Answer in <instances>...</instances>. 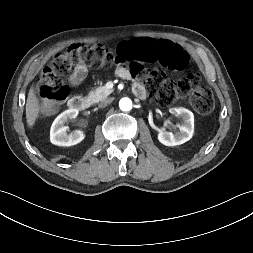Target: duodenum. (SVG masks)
I'll list each match as a JSON object with an SVG mask.
<instances>
[{"mask_svg":"<svg viewBox=\"0 0 253 253\" xmlns=\"http://www.w3.org/2000/svg\"><path fill=\"white\" fill-rule=\"evenodd\" d=\"M90 105H91V100L89 98L79 96V95L73 96L69 100V107L77 111H84L88 109Z\"/></svg>","mask_w":253,"mask_h":253,"instance_id":"410a0bca","label":"duodenum"}]
</instances>
